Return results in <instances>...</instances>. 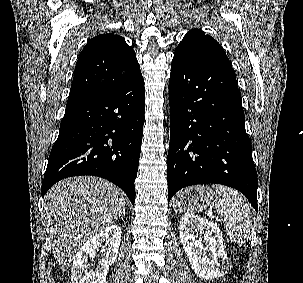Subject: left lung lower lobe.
Returning <instances> with one entry per match:
<instances>
[{"instance_id": "0a47b994", "label": "left lung lower lobe", "mask_w": 303, "mask_h": 283, "mask_svg": "<svg viewBox=\"0 0 303 283\" xmlns=\"http://www.w3.org/2000/svg\"><path fill=\"white\" fill-rule=\"evenodd\" d=\"M168 201L180 189L222 184L257 206V172L229 60L173 58L169 80Z\"/></svg>"}]
</instances>
